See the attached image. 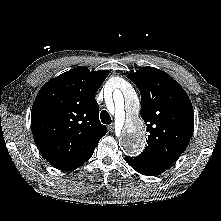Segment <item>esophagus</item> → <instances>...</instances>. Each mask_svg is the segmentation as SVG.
I'll return each mask as SVG.
<instances>
[{
	"instance_id": "obj_1",
	"label": "esophagus",
	"mask_w": 221,
	"mask_h": 221,
	"mask_svg": "<svg viewBox=\"0 0 221 221\" xmlns=\"http://www.w3.org/2000/svg\"><path fill=\"white\" fill-rule=\"evenodd\" d=\"M114 124H110V125H108V130L110 131V132H113L114 131Z\"/></svg>"
}]
</instances>
